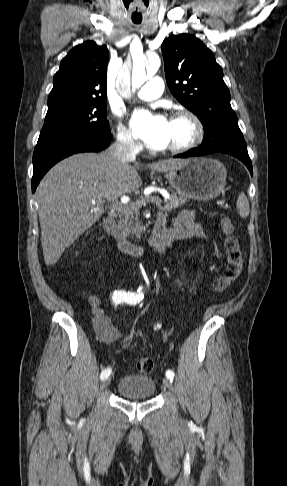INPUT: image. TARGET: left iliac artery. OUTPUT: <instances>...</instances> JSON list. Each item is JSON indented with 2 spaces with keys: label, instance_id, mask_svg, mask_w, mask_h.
<instances>
[{
  "label": "left iliac artery",
  "instance_id": "left-iliac-artery-1",
  "mask_svg": "<svg viewBox=\"0 0 287 486\" xmlns=\"http://www.w3.org/2000/svg\"><path fill=\"white\" fill-rule=\"evenodd\" d=\"M138 299H139V297L136 296L134 299L127 300V303L128 304H131V305H134V304H136L138 302L137 301ZM157 327H160V325L158 324ZM166 376H167L168 379H170L172 381L173 378H174V376H175V374H174V372L172 370H167L166 371Z\"/></svg>",
  "mask_w": 287,
  "mask_h": 486
}]
</instances>
